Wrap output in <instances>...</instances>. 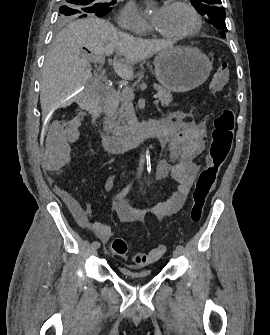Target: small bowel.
Instances as JSON below:
<instances>
[{"mask_svg": "<svg viewBox=\"0 0 270 335\" xmlns=\"http://www.w3.org/2000/svg\"><path fill=\"white\" fill-rule=\"evenodd\" d=\"M160 125L159 144L168 149V158L158 160L155 177L172 178L178 182L177 188L165 201L147 208L132 207L122 199L117 200L112 213L122 223L140 222L146 215L161 219L174 214L182 207L195 180L198 172L195 158L204 150L205 125L179 118L163 119ZM48 127L50 135L46 136V152H49L50 158H43V165H47V169H76V162L68 154L75 150V145L67 144V141L77 138L78 121H49ZM114 182L115 177L109 176L104 183L105 190L112 189ZM77 220L103 242L112 236L111 226L106 222H91L84 212L77 213Z\"/></svg>", "mask_w": 270, "mask_h": 335, "instance_id": "small-bowel-1", "label": "small bowel"}]
</instances>
